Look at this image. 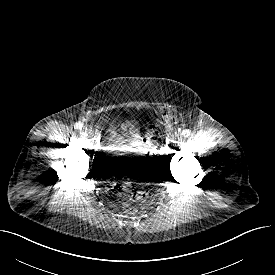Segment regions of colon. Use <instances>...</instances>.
Returning a JSON list of instances; mask_svg holds the SVG:
<instances>
[{
  "mask_svg": "<svg viewBox=\"0 0 275 275\" xmlns=\"http://www.w3.org/2000/svg\"><path fill=\"white\" fill-rule=\"evenodd\" d=\"M160 114L165 118L173 120H178L182 117L178 110L169 107L162 108ZM151 136L156 138L157 135L153 132ZM114 189L123 200L141 202L147 197L146 190L143 188L133 189L129 182L123 180V176L119 177V180L114 185ZM123 210L127 213H133L135 211L134 207L127 202L123 204Z\"/></svg>",
  "mask_w": 275,
  "mask_h": 275,
  "instance_id": "obj_1",
  "label": "colon"
}]
</instances>
